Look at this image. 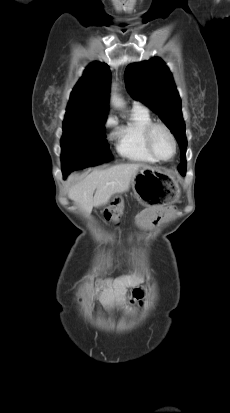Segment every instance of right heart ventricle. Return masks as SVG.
I'll use <instances>...</instances> for the list:
<instances>
[{"label":"right heart ventricle","mask_w":230,"mask_h":413,"mask_svg":"<svg viewBox=\"0 0 230 413\" xmlns=\"http://www.w3.org/2000/svg\"><path fill=\"white\" fill-rule=\"evenodd\" d=\"M153 122L149 111L141 106H134L129 120L116 129V151L128 160L154 164L156 160L148 152L145 141L144 131Z\"/></svg>","instance_id":"right-heart-ventricle-1"}]
</instances>
